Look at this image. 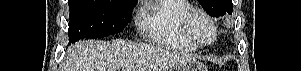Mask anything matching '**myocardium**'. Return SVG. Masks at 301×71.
Wrapping results in <instances>:
<instances>
[{"mask_svg":"<svg viewBox=\"0 0 301 71\" xmlns=\"http://www.w3.org/2000/svg\"><path fill=\"white\" fill-rule=\"evenodd\" d=\"M197 16L205 19L213 29V36L211 40L208 42H201L200 40L197 39V37L194 34L192 26H193V20ZM180 22H181V28L184 36L199 48L208 47L212 45L217 39V26L214 20L209 14H207L205 11H203L200 8L191 7L188 10H186L182 14Z\"/></svg>","mask_w":301,"mask_h":71,"instance_id":"f54148a6","label":"myocardium"}]
</instances>
